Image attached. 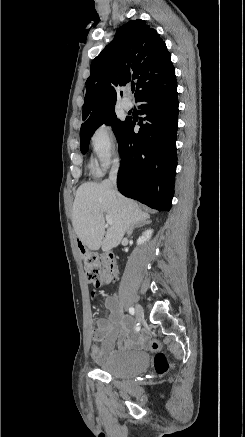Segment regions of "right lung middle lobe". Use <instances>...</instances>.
<instances>
[{"label":"right lung middle lobe","instance_id":"obj_1","mask_svg":"<svg viewBox=\"0 0 245 437\" xmlns=\"http://www.w3.org/2000/svg\"><path fill=\"white\" fill-rule=\"evenodd\" d=\"M127 119L125 121H120L116 118V113L114 111V108L109 109L102 113L100 116H98L94 121L81 126L80 129V149L82 153H86L88 149V144L90 142L91 136L93 135L94 131L101 126L103 123H106L108 125H112L113 131L115 135H120V132L124 125L126 124Z\"/></svg>","mask_w":245,"mask_h":437}]
</instances>
